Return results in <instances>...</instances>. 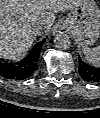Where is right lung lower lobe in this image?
<instances>
[{
	"instance_id": "obj_1",
	"label": "right lung lower lobe",
	"mask_w": 100,
	"mask_h": 118,
	"mask_svg": "<svg viewBox=\"0 0 100 118\" xmlns=\"http://www.w3.org/2000/svg\"><path fill=\"white\" fill-rule=\"evenodd\" d=\"M44 40L37 44L33 52L19 62H3L0 64V75L15 80L31 77L38 69V59Z\"/></svg>"
}]
</instances>
